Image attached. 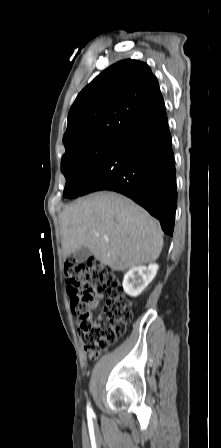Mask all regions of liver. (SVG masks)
<instances>
[{"label": "liver", "instance_id": "1", "mask_svg": "<svg viewBox=\"0 0 221 448\" xmlns=\"http://www.w3.org/2000/svg\"><path fill=\"white\" fill-rule=\"evenodd\" d=\"M61 236L64 257L85 246L101 264L117 271L155 261L163 247L159 222L113 192H97L65 207Z\"/></svg>", "mask_w": 221, "mask_h": 448}]
</instances>
